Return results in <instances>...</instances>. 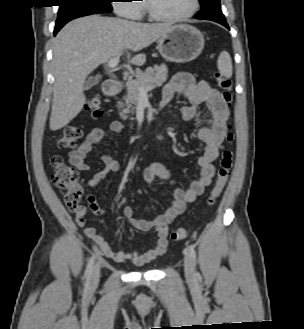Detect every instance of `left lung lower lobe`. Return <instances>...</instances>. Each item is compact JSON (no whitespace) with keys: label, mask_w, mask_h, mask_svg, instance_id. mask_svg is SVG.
Here are the masks:
<instances>
[{"label":"left lung lower lobe","mask_w":304,"mask_h":329,"mask_svg":"<svg viewBox=\"0 0 304 329\" xmlns=\"http://www.w3.org/2000/svg\"><path fill=\"white\" fill-rule=\"evenodd\" d=\"M196 18L201 20H211L220 23L229 29L221 11L220 0H210L202 7V10L196 15Z\"/></svg>","instance_id":"left-lung-lower-lobe-1"}]
</instances>
